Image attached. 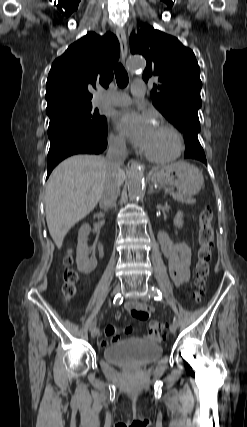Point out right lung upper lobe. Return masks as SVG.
<instances>
[{
	"label": "right lung upper lobe",
	"mask_w": 247,
	"mask_h": 427,
	"mask_svg": "<svg viewBox=\"0 0 247 427\" xmlns=\"http://www.w3.org/2000/svg\"><path fill=\"white\" fill-rule=\"evenodd\" d=\"M119 58L115 35L94 32L73 43L57 58L46 83L47 114L67 106L91 104V91L107 88L113 79V67Z\"/></svg>",
	"instance_id": "obj_1"
}]
</instances>
